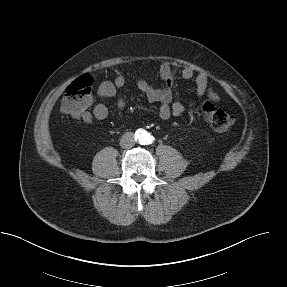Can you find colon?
Here are the masks:
<instances>
[{
  "mask_svg": "<svg viewBox=\"0 0 287 287\" xmlns=\"http://www.w3.org/2000/svg\"><path fill=\"white\" fill-rule=\"evenodd\" d=\"M93 101V79L85 74L74 80L67 88L61 103L63 113L81 118ZM203 117L215 130L227 131L233 125V117L208 101L201 102Z\"/></svg>",
  "mask_w": 287,
  "mask_h": 287,
  "instance_id": "5ec220e1",
  "label": "colon"
}]
</instances>
